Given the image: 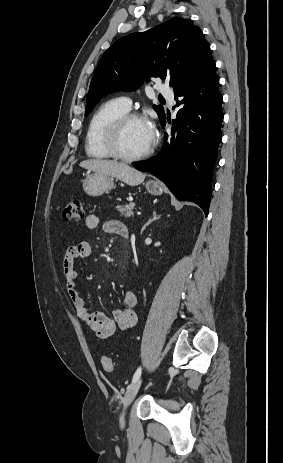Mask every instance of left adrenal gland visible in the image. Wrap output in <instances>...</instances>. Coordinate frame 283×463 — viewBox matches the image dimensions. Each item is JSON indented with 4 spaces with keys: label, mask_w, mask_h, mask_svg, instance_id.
<instances>
[{
    "label": "left adrenal gland",
    "mask_w": 283,
    "mask_h": 463,
    "mask_svg": "<svg viewBox=\"0 0 283 463\" xmlns=\"http://www.w3.org/2000/svg\"><path fill=\"white\" fill-rule=\"evenodd\" d=\"M160 217H161V215H157L156 210H154V211H153L152 218L149 219V220L144 224V226L142 227V230H145L146 227H147L149 224H151L153 221L158 220Z\"/></svg>",
    "instance_id": "1"
}]
</instances>
